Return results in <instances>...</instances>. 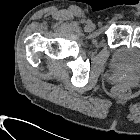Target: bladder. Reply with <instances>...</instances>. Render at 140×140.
<instances>
[{"instance_id":"1","label":"bladder","mask_w":140,"mask_h":140,"mask_svg":"<svg viewBox=\"0 0 140 140\" xmlns=\"http://www.w3.org/2000/svg\"><path fill=\"white\" fill-rule=\"evenodd\" d=\"M113 65L122 71H140V48L137 46L120 45L113 51Z\"/></svg>"}]
</instances>
